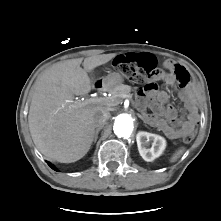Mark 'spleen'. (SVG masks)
I'll return each mask as SVG.
<instances>
[{
    "label": "spleen",
    "mask_w": 221,
    "mask_h": 221,
    "mask_svg": "<svg viewBox=\"0 0 221 221\" xmlns=\"http://www.w3.org/2000/svg\"><path fill=\"white\" fill-rule=\"evenodd\" d=\"M184 153V148L177 150L171 158V162H175Z\"/></svg>",
    "instance_id": "obj_1"
}]
</instances>
